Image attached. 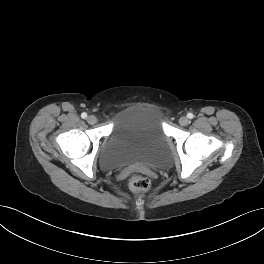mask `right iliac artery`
<instances>
[{
    "label": "right iliac artery",
    "mask_w": 264,
    "mask_h": 264,
    "mask_svg": "<svg viewBox=\"0 0 264 264\" xmlns=\"http://www.w3.org/2000/svg\"><path fill=\"white\" fill-rule=\"evenodd\" d=\"M81 117H82L83 119H85V118H87V114L84 112V113L81 114Z\"/></svg>",
    "instance_id": "82829eb1"
}]
</instances>
